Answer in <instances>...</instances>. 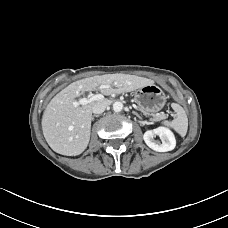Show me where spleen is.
<instances>
[{
	"label": "spleen",
	"mask_w": 228,
	"mask_h": 228,
	"mask_svg": "<svg viewBox=\"0 0 228 228\" xmlns=\"http://www.w3.org/2000/svg\"><path fill=\"white\" fill-rule=\"evenodd\" d=\"M177 117L172 121H164L163 124L174 129L180 136L184 137L188 130V118L185 110L177 103L172 104Z\"/></svg>",
	"instance_id": "spleen-1"
}]
</instances>
